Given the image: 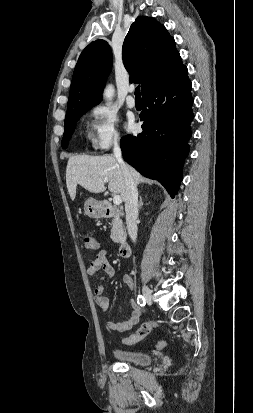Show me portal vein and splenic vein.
I'll use <instances>...</instances> for the list:
<instances>
[{
  "instance_id": "portal-vein-and-splenic-vein-1",
  "label": "portal vein and splenic vein",
  "mask_w": 253,
  "mask_h": 413,
  "mask_svg": "<svg viewBox=\"0 0 253 413\" xmlns=\"http://www.w3.org/2000/svg\"><path fill=\"white\" fill-rule=\"evenodd\" d=\"M104 182H105V183L108 182V179H104ZM113 203H114L115 205H120V204L122 203V198H121V196H120V195H115V196L113 197Z\"/></svg>"
}]
</instances>
